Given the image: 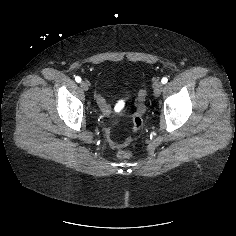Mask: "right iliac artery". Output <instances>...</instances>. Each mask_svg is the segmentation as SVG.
I'll list each match as a JSON object with an SVG mask.
<instances>
[{"label": "right iliac artery", "mask_w": 236, "mask_h": 236, "mask_svg": "<svg viewBox=\"0 0 236 236\" xmlns=\"http://www.w3.org/2000/svg\"><path fill=\"white\" fill-rule=\"evenodd\" d=\"M75 80H76V82H81V78L79 77V76H77L76 78H75Z\"/></svg>", "instance_id": "82829eb1"}]
</instances>
